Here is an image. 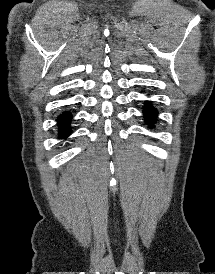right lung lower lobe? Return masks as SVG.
Instances as JSON below:
<instances>
[{
  "label": "right lung lower lobe",
  "mask_w": 215,
  "mask_h": 274,
  "mask_svg": "<svg viewBox=\"0 0 215 274\" xmlns=\"http://www.w3.org/2000/svg\"><path fill=\"white\" fill-rule=\"evenodd\" d=\"M71 114L69 112H64L58 117V126H59V137L66 138L71 130H70V121H71Z\"/></svg>",
  "instance_id": "right-lung-lower-lobe-1"
}]
</instances>
